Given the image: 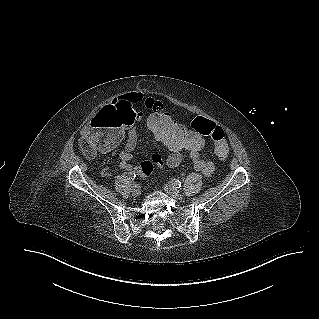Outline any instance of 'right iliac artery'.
I'll return each instance as SVG.
<instances>
[{"label": "right iliac artery", "instance_id": "1", "mask_svg": "<svg viewBox=\"0 0 319 319\" xmlns=\"http://www.w3.org/2000/svg\"><path fill=\"white\" fill-rule=\"evenodd\" d=\"M130 177H131V179H134L136 177L135 171L130 173Z\"/></svg>", "mask_w": 319, "mask_h": 319}]
</instances>
